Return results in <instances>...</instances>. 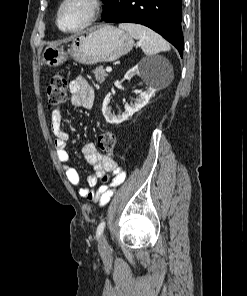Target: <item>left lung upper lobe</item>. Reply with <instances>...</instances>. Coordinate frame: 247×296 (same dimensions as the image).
Masks as SVG:
<instances>
[{"instance_id": "obj_1", "label": "left lung upper lobe", "mask_w": 247, "mask_h": 296, "mask_svg": "<svg viewBox=\"0 0 247 296\" xmlns=\"http://www.w3.org/2000/svg\"><path fill=\"white\" fill-rule=\"evenodd\" d=\"M111 1L112 0H103V2L105 3L103 14L109 9Z\"/></svg>"}]
</instances>
